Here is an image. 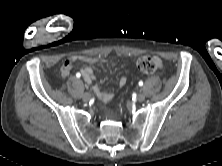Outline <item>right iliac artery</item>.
I'll use <instances>...</instances> for the list:
<instances>
[{
    "mask_svg": "<svg viewBox=\"0 0 222 166\" xmlns=\"http://www.w3.org/2000/svg\"><path fill=\"white\" fill-rule=\"evenodd\" d=\"M80 76H81L80 73H77V74H76V77H77V78H80Z\"/></svg>",
    "mask_w": 222,
    "mask_h": 166,
    "instance_id": "obj_1",
    "label": "right iliac artery"
}]
</instances>
